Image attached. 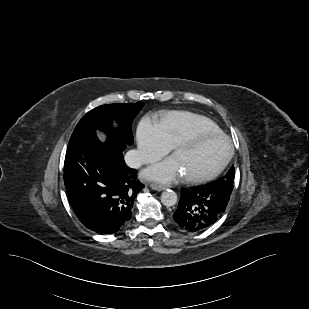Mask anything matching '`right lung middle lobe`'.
I'll use <instances>...</instances> for the list:
<instances>
[{
    "mask_svg": "<svg viewBox=\"0 0 309 309\" xmlns=\"http://www.w3.org/2000/svg\"><path fill=\"white\" fill-rule=\"evenodd\" d=\"M144 106V103L108 104L94 108L88 112L77 124L72 136L85 131L100 129L118 137L127 144H132L131 124L135 116ZM117 121L119 129L112 127V121Z\"/></svg>",
    "mask_w": 309,
    "mask_h": 309,
    "instance_id": "1",
    "label": "right lung middle lobe"
}]
</instances>
